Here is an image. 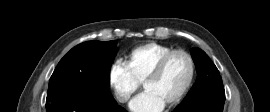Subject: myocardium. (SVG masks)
<instances>
[{
  "mask_svg": "<svg viewBox=\"0 0 270 112\" xmlns=\"http://www.w3.org/2000/svg\"><path fill=\"white\" fill-rule=\"evenodd\" d=\"M181 54L187 58L189 61L190 65V74L189 78L184 86V88L181 90V92L173 99L171 100L168 104L167 107H173L178 105L180 102L183 101V99L187 96L189 91L191 90L195 77H196V64L193 56L186 50L184 49H173L163 55L155 64L153 69L150 71V73L147 75L145 81L143 82V87H145L146 84L156 80L162 73L166 63L169 61L171 57L174 55Z\"/></svg>",
  "mask_w": 270,
  "mask_h": 112,
  "instance_id": "f54148a6",
  "label": "myocardium"
}]
</instances>
